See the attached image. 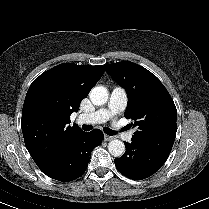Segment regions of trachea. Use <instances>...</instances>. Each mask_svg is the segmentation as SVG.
Masks as SVG:
<instances>
[{"instance_id": "1", "label": "trachea", "mask_w": 209, "mask_h": 209, "mask_svg": "<svg viewBox=\"0 0 209 209\" xmlns=\"http://www.w3.org/2000/svg\"><path fill=\"white\" fill-rule=\"evenodd\" d=\"M93 127L91 125H83L82 129L85 131H90ZM103 131L107 134V135H116V131L108 128V127H104Z\"/></svg>"}]
</instances>
